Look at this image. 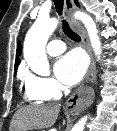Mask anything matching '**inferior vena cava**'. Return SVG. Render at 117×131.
I'll return each instance as SVG.
<instances>
[{
	"instance_id": "inferior-vena-cava-1",
	"label": "inferior vena cava",
	"mask_w": 117,
	"mask_h": 131,
	"mask_svg": "<svg viewBox=\"0 0 117 131\" xmlns=\"http://www.w3.org/2000/svg\"><path fill=\"white\" fill-rule=\"evenodd\" d=\"M63 91H64L65 95L69 94V92H70V90L68 88H66V87H64Z\"/></svg>"
}]
</instances>
